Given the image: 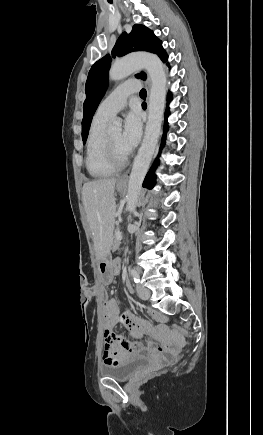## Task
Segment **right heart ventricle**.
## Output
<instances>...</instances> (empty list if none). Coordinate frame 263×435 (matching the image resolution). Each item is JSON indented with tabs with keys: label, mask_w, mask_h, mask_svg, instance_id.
I'll list each match as a JSON object with an SVG mask.
<instances>
[{
	"label": "right heart ventricle",
	"mask_w": 263,
	"mask_h": 435,
	"mask_svg": "<svg viewBox=\"0 0 263 435\" xmlns=\"http://www.w3.org/2000/svg\"><path fill=\"white\" fill-rule=\"evenodd\" d=\"M109 119L94 116L86 142L85 165L87 172L93 178L111 176L115 169L107 162L104 151L106 127Z\"/></svg>",
	"instance_id": "1"
}]
</instances>
